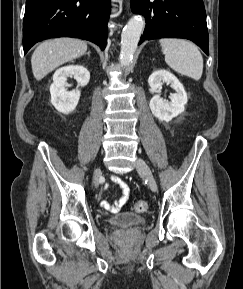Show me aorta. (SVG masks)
Wrapping results in <instances>:
<instances>
[{
	"instance_id": "762f6f07",
	"label": "aorta",
	"mask_w": 243,
	"mask_h": 289,
	"mask_svg": "<svg viewBox=\"0 0 243 289\" xmlns=\"http://www.w3.org/2000/svg\"><path fill=\"white\" fill-rule=\"evenodd\" d=\"M144 26V19L141 16H134L124 27L121 34V51L119 56L121 65L127 66L131 62Z\"/></svg>"
}]
</instances>
